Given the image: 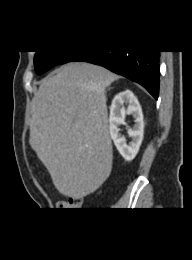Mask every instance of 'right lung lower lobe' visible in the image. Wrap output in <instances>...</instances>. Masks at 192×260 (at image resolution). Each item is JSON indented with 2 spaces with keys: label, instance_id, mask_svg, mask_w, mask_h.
<instances>
[{
  "label": "right lung lower lobe",
  "instance_id": "obj_1",
  "mask_svg": "<svg viewBox=\"0 0 192 260\" xmlns=\"http://www.w3.org/2000/svg\"><path fill=\"white\" fill-rule=\"evenodd\" d=\"M159 51H74L61 64L85 61L103 66L141 84L155 98L159 95Z\"/></svg>",
  "mask_w": 192,
  "mask_h": 260
}]
</instances>
